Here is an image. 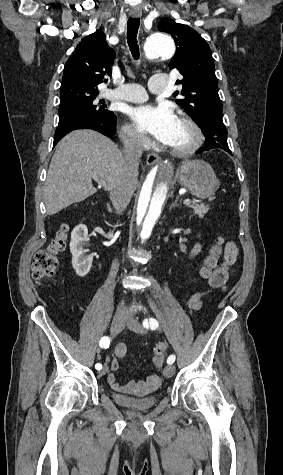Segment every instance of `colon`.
<instances>
[{"mask_svg":"<svg viewBox=\"0 0 283 475\" xmlns=\"http://www.w3.org/2000/svg\"><path fill=\"white\" fill-rule=\"evenodd\" d=\"M67 241V228H63L47 247L36 250L33 257V277L35 279L46 280L53 276L58 258L66 251ZM222 247L223 239L218 237L203 259L199 279L207 280L213 276L214 270L219 264ZM164 359L165 350L163 345L159 344L153 350L152 362L159 366L164 363Z\"/></svg>","mask_w":283,"mask_h":475,"instance_id":"colon-1","label":"colon"}]
</instances>
